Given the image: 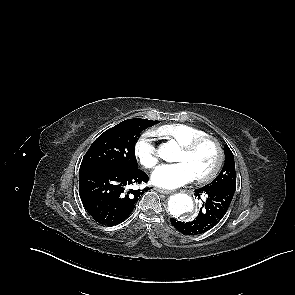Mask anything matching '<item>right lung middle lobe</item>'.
<instances>
[{
    "label": "right lung middle lobe",
    "instance_id": "dd1d6c3e",
    "mask_svg": "<svg viewBox=\"0 0 295 295\" xmlns=\"http://www.w3.org/2000/svg\"><path fill=\"white\" fill-rule=\"evenodd\" d=\"M158 121L128 119L103 132L83 157L80 171L99 168H138L135 140L147 127Z\"/></svg>",
    "mask_w": 295,
    "mask_h": 295
}]
</instances>
